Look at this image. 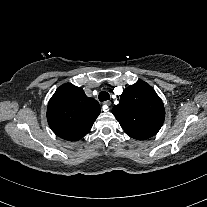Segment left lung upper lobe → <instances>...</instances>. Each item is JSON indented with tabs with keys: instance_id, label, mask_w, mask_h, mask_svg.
Here are the masks:
<instances>
[{
	"instance_id": "obj_1",
	"label": "left lung upper lobe",
	"mask_w": 207,
	"mask_h": 207,
	"mask_svg": "<svg viewBox=\"0 0 207 207\" xmlns=\"http://www.w3.org/2000/svg\"><path fill=\"white\" fill-rule=\"evenodd\" d=\"M112 113L124 131L132 138L144 140L154 136L161 128L165 110L155 90L139 80L127 87Z\"/></svg>"
}]
</instances>
